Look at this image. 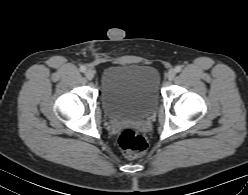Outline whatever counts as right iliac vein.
<instances>
[{
	"mask_svg": "<svg viewBox=\"0 0 248 195\" xmlns=\"http://www.w3.org/2000/svg\"><path fill=\"white\" fill-rule=\"evenodd\" d=\"M94 71L92 69H88L85 71V76L87 79L92 80L94 78Z\"/></svg>",
	"mask_w": 248,
	"mask_h": 195,
	"instance_id": "obj_1",
	"label": "right iliac vein"
}]
</instances>
